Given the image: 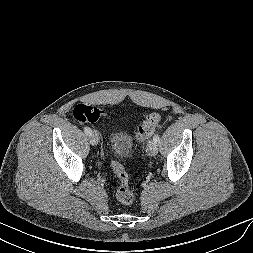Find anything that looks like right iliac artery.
I'll list each match as a JSON object with an SVG mask.
<instances>
[{"label":"right iliac artery","instance_id":"obj_1","mask_svg":"<svg viewBox=\"0 0 253 253\" xmlns=\"http://www.w3.org/2000/svg\"><path fill=\"white\" fill-rule=\"evenodd\" d=\"M84 132L86 135H90L92 133V130L89 127H84Z\"/></svg>","mask_w":253,"mask_h":253}]
</instances>
